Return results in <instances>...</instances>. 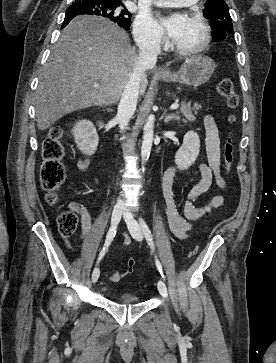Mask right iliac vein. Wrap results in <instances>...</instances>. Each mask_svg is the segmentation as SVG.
Returning <instances> with one entry per match:
<instances>
[{
  "instance_id": "63e3f726",
  "label": "right iliac vein",
  "mask_w": 276,
  "mask_h": 363,
  "mask_svg": "<svg viewBox=\"0 0 276 363\" xmlns=\"http://www.w3.org/2000/svg\"><path fill=\"white\" fill-rule=\"evenodd\" d=\"M122 212H123L122 206H116L114 208L113 213H112V217H111V224H112L113 227H116L119 224ZM99 273L100 272H99L98 268H95L93 270V273H92V282L93 283H95L98 280Z\"/></svg>"
}]
</instances>
